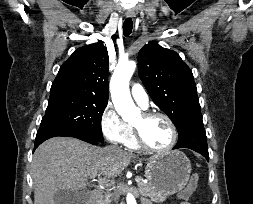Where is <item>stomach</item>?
<instances>
[{"label": "stomach", "instance_id": "0dacf381", "mask_svg": "<svg viewBox=\"0 0 253 204\" xmlns=\"http://www.w3.org/2000/svg\"><path fill=\"white\" fill-rule=\"evenodd\" d=\"M190 174V160L180 151L151 156L146 159L145 177L154 191L147 196L155 203L163 202L167 196L185 188Z\"/></svg>", "mask_w": 253, "mask_h": 204}]
</instances>
